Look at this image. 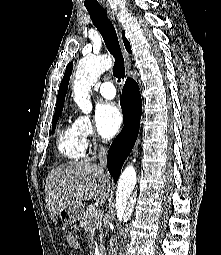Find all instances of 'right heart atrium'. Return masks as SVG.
Segmentation results:
<instances>
[{"instance_id":"1","label":"right heart atrium","mask_w":221,"mask_h":255,"mask_svg":"<svg viewBox=\"0 0 221 255\" xmlns=\"http://www.w3.org/2000/svg\"><path fill=\"white\" fill-rule=\"evenodd\" d=\"M75 122L86 144L92 142L95 139L96 131L91 118L88 115H79Z\"/></svg>"}]
</instances>
